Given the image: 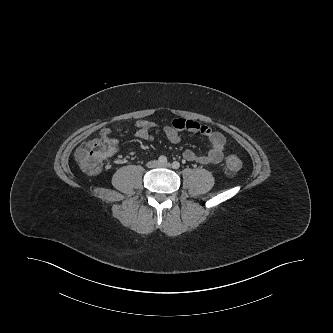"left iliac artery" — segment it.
Instances as JSON below:
<instances>
[{"label": "left iliac artery", "instance_id": "1", "mask_svg": "<svg viewBox=\"0 0 333 333\" xmlns=\"http://www.w3.org/2000/svg\"><path fill=\"white\" fill-rule=\"evenodd\" d=\"M172 168H173V169H179V168H180V163L177 162V161H174V162L172 163Z\"/></svg>", "mask_w": 333, "mask_h": 333}]
</instances>
